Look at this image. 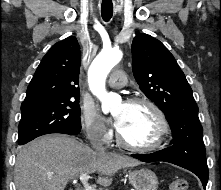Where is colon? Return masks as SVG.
Instances as JSON below:
<instances>
[{
  "label": "colon",
  "mask_w": 221,
  "mask_h": 190,
  "mask_svg": "<svg viewBox=\"0 0 221 190\" xmlns=\"http://www.w3.org/2000/svg\"><path fill=\"white\" fill-rule=\"evenodd\" d=\"M170 190H188V181L186 179H176L170 184Z\"/></svg>",
  "instance_id": "5ec220e1"
}]
</instances>
